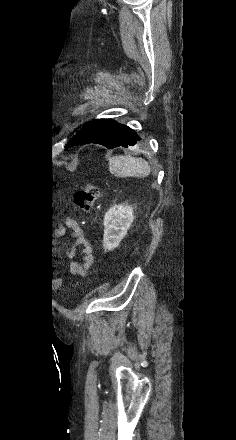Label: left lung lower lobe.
I'll return each mask as SVG.
<instances>
[{
    "label": "left lung lower lobe",
    "mask_w": 236,
    "mask_h": 440,
    "mask_svg": "<svg viewBox=\"0 0 236 440\" xmlns=\"http://www.w3.org/2000/svg\"><path fill=\"white\" fill-rule=\"evenodd\" d=\"M141 138L134 130L112 119H96L83 128L66 144L67 147L97 143L109 149L135 145Z\"/></svg>",
    "instance_id": "left-lung-lower-lobe-1"
}]
</instances>
